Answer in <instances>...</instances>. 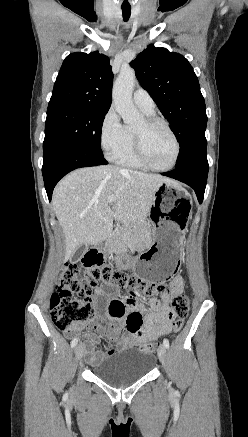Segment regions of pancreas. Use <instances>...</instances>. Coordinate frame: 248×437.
<instances>
[{
    "mask_svg": "<svg viewBox=\"0 0 248 437\" xmlns=\"http://www.w3.org/2000/svg\"><path fill=\"white\" fill-rule=\"evenodd\" d=\"M134 229H135V225L133 223L125 224L119 229H117L113 235L114 238L113 244L116 246L126 244V240L129 236H125V235L132 233ZM144 229L147 231V227H145Z\"/></svg>",
    "mask_w": 248,
    "mask_h": 437,
    "instance_id": "cf45deb5",
    "label": "pancreas"
}]
</instances>
